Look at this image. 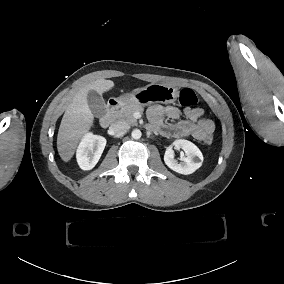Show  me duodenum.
Returning a JSON list of instances; mask_svg holds the SVG:
<instances>
[{"label":"duodenum","instance_id":"1","mask_svg":"<svg viewBox=\"0 0 284 284\" xmlns=\"http://www.w3.org/2000/svg\"><path fill=\"white\" fill-rule=\"evenodd\" d=\"M125 102H127L126 98L109 100L107 110L98 118V122L102 128H108L111 125L114 112Z\"/></svg>","mask_w":284,"mask_h":284}]
</instances>
